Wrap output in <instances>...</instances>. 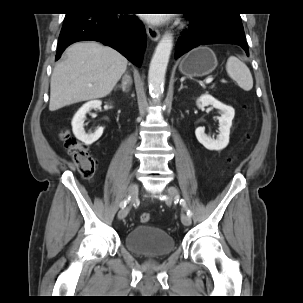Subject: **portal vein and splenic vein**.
<instances>
[{
	"instance_id": "18ae733b",
	"label": "portal vein and splenic vein",
	"mask_w": 303,
	"mask_h": 303,
	"mask_svg": "<svg viewBox=\"0 0 303 303\" xmlns=\"http://www.w3.org/2000/svg\"><path fill=\"white\" fill-rule=\"evenodd\" d=\"M212 81H213V78H212V77H209V78L206 79L205 82H206V84H209V83H211Z\"/></svg>"
}]
</instances>
